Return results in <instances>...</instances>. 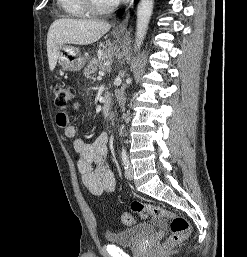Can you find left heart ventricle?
Returning a JSON list of instances; mask_svg holds the SVG:
<instances>
[{"label": "left heart ventricle", "mask_w": 247, "mask_h": 257, "mask_svg": "<svg viewBox=\"0 0 247 257\" xmlns=\"http://www.w3.org/2000/svg\"><path fill=\"white\" fill-rule=\"evenodd\" d=\"M99 5L105 6L113 0H96Z\"/></svg>", "instance_id": "obj_1"}]
</instances>
